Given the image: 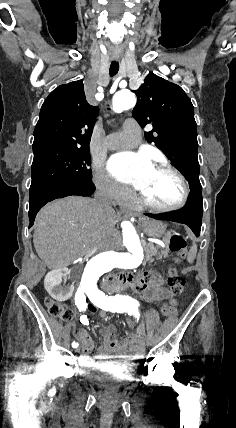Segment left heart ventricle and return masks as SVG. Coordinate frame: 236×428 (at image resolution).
<instances>
[{
  "instance_id": "left-heart-ventricle-1",
  "label": "left heart ventricle",
  "mask_w": 236,
  "mask_h": 428,
  "mask_svg": "<svg viewBox=\"0 0 236 428\" xmlns=\"http://www.w3.org/2000/svg\"><path fill=\"white\" fill-rule=\"evenodd\" d=\"M150 201L170 206L178 202L182 188L178 179L165 170L152 169L139 189Z\"/></svg>"
}]
</instances>
